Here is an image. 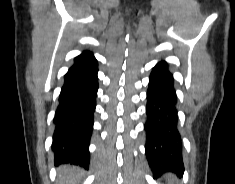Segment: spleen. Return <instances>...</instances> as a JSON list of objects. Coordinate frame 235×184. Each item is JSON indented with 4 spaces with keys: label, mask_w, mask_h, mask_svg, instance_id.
Wrapping results in <instances>:
<instances>
[{
    "label": "spleen",
    "mask_w": 235,
    "mask_h": 184,
    "mask_svg": "<svg viewBox=\"0 0 235 184\" xmlns=\"http://www.w3.org/2000/svg\"><path fill=\"white\" fill-rule=\"evenodd\" d=\"M166 178H172V180H174L173 176H170V174H166Z\"/></svg>",
    "instance_id": "3e777b00"
}]
</instances>
